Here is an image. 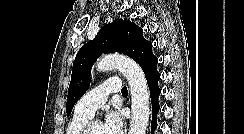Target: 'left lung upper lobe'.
Returning a JSON list of instances; mask_svg holds the SVG:
<instances>
[{
  "label": "left lung upper lobe",
  "mask_w": 244,
  "mask_h": 134,
  "mask_svg": "<svg viewBox=\"0 0 244 134\" xmlns=\"http://www.w3.org/2000/svg\"><path fill=\"white\" fill-rule=\"evenodd\" d=\"M114 52L134 59L143 69L145 76L157 71L158 58L152 53V43L143 38L142 28L122 19L106 24L94 40L85 44L75 57L67 96V116L89 88L91 68L97 58L102 53Z\"/></svg>",
  "instance_id": "1"
}]
</instances>
